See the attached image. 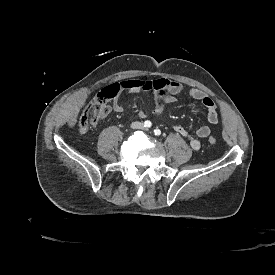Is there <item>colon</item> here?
Listing matches in <instances>:
<instances>
[{
    "mask_svg": "<svg viewBox=\"0 0 275 275\" xmlns=\"http://www.w3.org/2000/svg\"><path fill=\"white\" fill-rule=\"evenodd\" d=\"M107 105L104 102L91 103L82 113L79 126L82 130L89 129L91 124L102 119L107 114ZM209 144L216 143V138L210 136L208 138Z\"/></svg>",
    "mask_w": 275,
    "mask_h": 275,
    "instance_id": "1",
    "label": "colon"
}]
</instances>
